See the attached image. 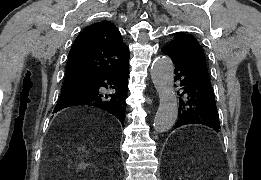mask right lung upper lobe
Listing matches in <instances>:
<instances>
[{"label": "right lung upper lobe", "mask_w": 261, "mask_h": 180, "mask_svg": "<svg viewBox=\"0 0 261 180\" xmlns=\"http://www.w3.org/2000/svg\"><path fill=\"white\" fill-rule=\"evenodd\" d=\"M129 49L119 30L102 21L87 26L77 37L69 55L64 82L89 81L95 76L128 65Z\"/></svg>", "instance_id": "obj_1"}]
</instances>
